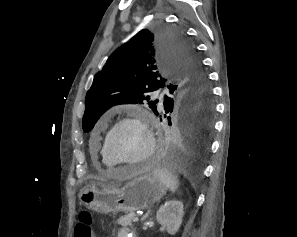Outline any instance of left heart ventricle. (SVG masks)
Here are the masks:
<instances>
[{
    "label": "left heart ventricle",
    "instance_id": "left-heart-ventricle-1",
    "mask_svg": "<svg viewBox=\"0 0 297 237\" xmlns=\"http://www.w3.org/2000/svg\"><path fill=\"white\" fill-rule=\"evenodd\" d=\"M110 147L119 158L134 160L145 153L147 138L139 125L126 123L113 133Z\"/></svg>",
    "mask_w": 297,
    "mask_h": 237
}]
</instances>
